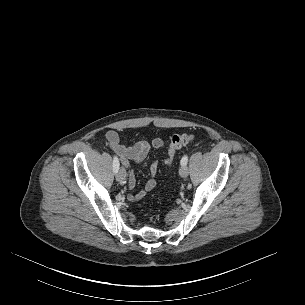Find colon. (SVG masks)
I'll list each match as a JSON object with an SVG mask.
<instances>
[{
  "label": "colon",
  "instance_id": "1",
  "mask_svg": "<svg viewBox=\"0 0 305 305\" xmlns=\"http://www.w3.org/2000/svg\"><path fill=\"white\" fill-rule=\"evenodd\" d=\"M194 140V136L190 134H174L170 138V145L168 149V157L165 161L167 165L172 163L175 153L183 146L188 145Z\"/></svg>",
  "mask_w": 305,
  "mask_h": 305
}]
</instances>
